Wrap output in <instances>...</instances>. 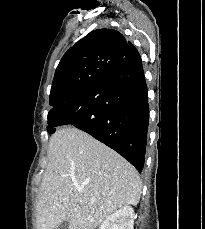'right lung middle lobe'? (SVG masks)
I'll list each match as a JSON object with an SVG mask.
<instances>
[{
  "label": "right lung middle lobe",
  "mask_w": 205,
  "mask_h": 229,
  "mask_svg": "<svg viewBox=\"0 0 205 229\" xmlns=\"http://www.w3.org/2000/svg\"><path fill=\"white\" fill-rule=\"evenodd\" d=\"M71 98V97H70ZM70 98H66V99H64L63 101H62V103H65L66 101H68ZM62 103H60V104H62ZM52 106H57V105H52Z\"/></svg>",
  "instance_id": "right-lung-middle-lobe-1"
}]
</instances>
